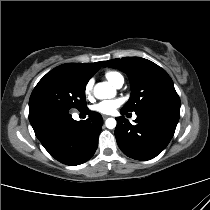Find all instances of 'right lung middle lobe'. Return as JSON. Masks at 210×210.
<instances>
[{"instance_id":"right-lung-middle-lobe-1","label":"right lung middle lobe","mask_w":210,"mask_h":210,"mask_svg":"<svg viewBox=\"0 0 210 210\" xmlns=\"http://www.w3.org/2000/svg\"><path fill=\"white\" fill-rule=\"evenodd\" d=\"M86 84V81L67 73H47L31 94L30 122L50 114L68 113L71 108L86 109Z\"/></svg>"}]
</instances>
